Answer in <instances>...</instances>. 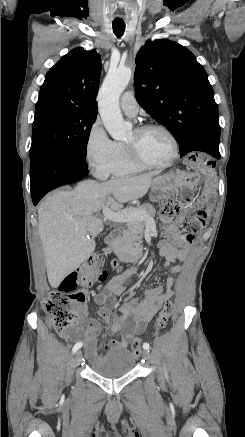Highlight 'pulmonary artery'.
Listing matches in <instances>:
<instances>
[{"instance_id":"1","label":"pulmonary artery","mask_w":245,"mask_h":437,"mask_svg":"<svg viewBox=\"0 0 245 437\" xmlns=\"http://www.w3.org/2000/svg\"><path fill=\"white\" fill-rule=\"evenodd\" d=\"M120 107L128 116H135L138 113V104L131 91L125 92L121 96Z\"/></svg>"}]
</instances>
